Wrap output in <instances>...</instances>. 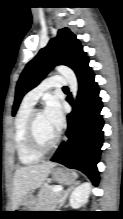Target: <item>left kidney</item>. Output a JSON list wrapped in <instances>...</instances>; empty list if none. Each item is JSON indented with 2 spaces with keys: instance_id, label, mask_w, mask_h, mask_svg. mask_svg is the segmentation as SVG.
<instances>
[{
  "instance_id": "1",
  "label": "left kidney",
  "mask_w": 123,
  "mask_h": 219,
  "mask_svg": "<svg viewBox=\"0 0 123 219\" xmlns=\"http://www.w3.org/2000/svg\"><path fill=\"white\" fill-rule=\"evenodd\" d=\"M90 190V182H84L76 187L70 196V206L72 208H80L81 206H84L88 202Z\"/></svg>"
}]
</instances>
